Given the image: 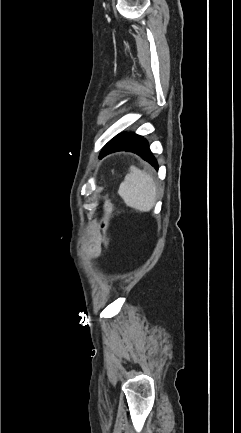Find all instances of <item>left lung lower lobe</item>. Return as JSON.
I'll list each match as a JSON object with an SVG mask.
<instances>
[{
    "label": "left lung lower lobe",
    "mask_w": 241,
    "mask_h": 433,
    "mask_svg": "<svg viewBox=\"0 0 241 433\" xmlns=\"http://www.w3.org/2000/svg\"><path fill=\"white\" fill-rule=\"evenodd\" d=\"M121 150L135 152L136 154L141 156L144 160H146L148 163H150L155 169H158L157 160L151 153L148 142L143 137L128 145L120 146L115 149L109 150L100 156L103 157L109 153L121 151Z\"/></svg>",
    "instance_id": "0a47b994"
}]
</instances>
